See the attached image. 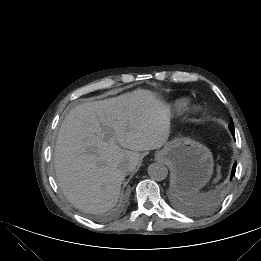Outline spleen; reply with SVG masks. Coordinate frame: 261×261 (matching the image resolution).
<instances>
[{
  "mask_svg": "<svg viewBox=\"0 0 261 261\" xmlns=\"http://www.w3.org/2000/svg\"><path fill=\"white\" fill-rule=\"evenodd\" d=\"M182 200L187 201V202H195L198 199V195L196 193L193 194H180Z\"/></svg>",
  "mask_w": 261,
  "mask_h": 261,
  "instance_id": "obj_1",
  "label": "spleen"
}]
</instances>
